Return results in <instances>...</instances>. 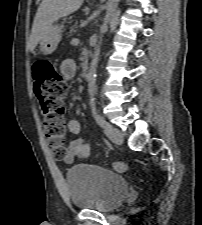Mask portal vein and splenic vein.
I'll return each instance as SVG.
<instances>
[{"instance_id": "portal-vein-and-splenic-vein-1", "label": "portal vein and splenic vein", "mask_w": 202, "mask_h": 225, "mask_svg": "<svg viewBox=\"0 0 202 225\" xmlns=\"http://www.w3.org/2000/svg\"><path fill=\"white\" fill-rule=\"evenodd\" d=\"M78 43H79V40L76 38L72 39V41H71V44H73V45H76Z\"/></svg>"}]
</instances>
